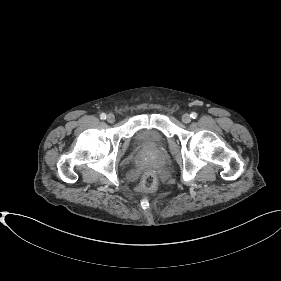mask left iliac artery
<instances>
[{
  "instance_id": "1",
  "label": "left iliac artery",
  "mask_w": 281,
  "mask_h": 281,
  "mask_svg": "<svg viewBox=\"0 0 281 281\" xmlns=\"http://www.w3.org/2000/svg\"><path fill=\"white\" fill-rule=\"evenodd\" d=\"M190 117L193 118V119L197 118V113L196 112H192L190 114Z\"/></svg>"
}]
</instances>
